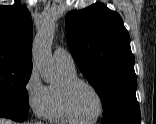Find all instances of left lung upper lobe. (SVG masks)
<instances>
[{
	"label": "left lung upper lobe",
	"mask_w": 156,
	"mask_h": 124,
	"mask_svg": "<svg viewBox=\"0 0 156 124\" xmlns=\"http://www.w3.org/2000/svg\"><path fill=\"white\" fill-rule=\"evenodd\" d=\"M65 24L69 50L102 101L103 124H140L135 60L120 15L97 3L69 12Z\"/></svg>",
	"instance_id": "obj_1"
}]
</instances>
